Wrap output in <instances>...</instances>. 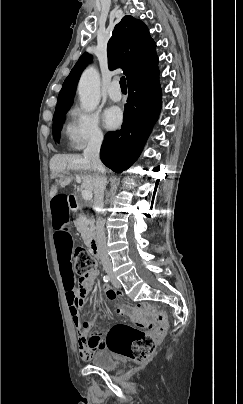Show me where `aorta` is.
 Here are the masks:
<instances>
[{
  "instance_id": "aorta-1",
  "label": "aorta",
  "mask_w": 243,
  "mask_h": 404,
  "mask_svg": "<svg viewBox=\"0 0 243 404\" xmlns=\"http://www.w3.org/2000/svg\"><path fill=\"white\" fill-rule=\"evenodd\" d=\"M78 94L82 110L85 112L96 110L100 102V76L94 66H89L83 72L78 86Z\"/></svg>"
}]
</instances>
